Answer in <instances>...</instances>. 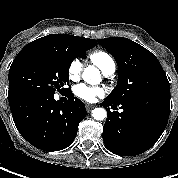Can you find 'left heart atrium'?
Returning <instances> with one entry per match:
<instances>
[{
    "label": "left heart atrium",
    "instance_id": "1",
    "mask_svg": "<svg viewBox=\"0 0 178 178\" xmlns=\"http://www.w3.org/2000/svg\"><path fill=\"white\" fill-rule=\"evenodd\" d=\"M75 95L87 102H94L104 93L103 89L97 87H90L85 84H78L74 89Z\"/></svg>",
    "mask_w": 178,
    "mask_h": 178
}]
</instances>
